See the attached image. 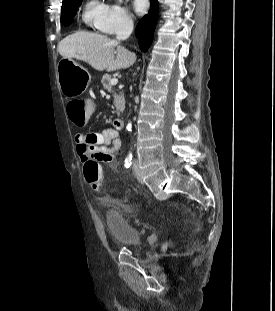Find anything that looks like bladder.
<instances>
[{
    "label": "bladder",
    "mask_w": 275,
    "mask_h": 311,
    "mask_svg": "<svg viewBox=\"0 0 275 311\" xmlns=\"http://www.w3.org/2000/svg\"><path fill=\"white\" fill-rule=\"evenodd\" d=\"M106 228L114 243L119 247H134L140 243L141 234L131 225L123 213L108 210L104 214Z\"/></svg>",
    "instance_id": "1"
}]
</instances>
